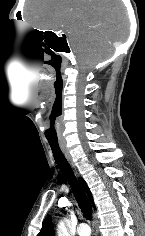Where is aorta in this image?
<instances>
[{
	"mask_svg": "<svg viewBox=\"0 0 145 236\" xmlns=\"http://www.w3.org/2000/svg\"><path fill=\"white\" fill-rule=\"evenodd\" d=\"M58 236H71L70 222L68 219H64L59 223Z\"/></svg>",
	"mask_w": 145,
	"mask_h": 236,
	"instance_id": "1",
	"label": "aorta"
}]
</instances>
